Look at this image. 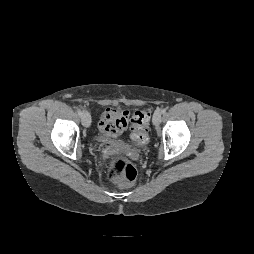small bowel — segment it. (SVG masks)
Segmentation results:
<instances>
[{"label": "small bowel", "instance_id": "1", "mask_svg": "<svg viewBox=\"0 0 254 254\" xmlns=\"http://www.w3.org/2000/svg\"><path fill=\"white\" fill-rule=\"evenodd\" d=\"M130 112L126 109L107 108L101 115L98 128L106 138H116L127 130Z\"/></svg>", "mask_w": 254, "mask_h": 254}]
</instances>
